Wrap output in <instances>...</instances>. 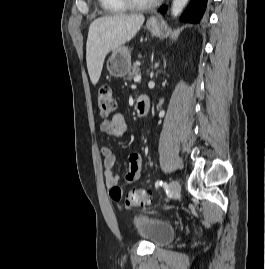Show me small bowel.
<instances>
[{
	"label": "small bowel",
	"instance_id": "c3829d8e",
	"mask_svg": "<svg viewBox=\"0 0 265 269\" xmlns=\"http://www.w3.org/2000/svg\"><path fill=\"white\" fill-rule=\"evenodd\" d=\"M101 132L114 136L121 137L127 131V122L122 114H115L111 119H104L100 123ZM101 155L104 159V177L106 184L110 187L117 186L119 182V176L113 171L117 156L112 152L108 146L101 147ZM142 155L140 153H132L129 156V168L125 176V182L127 184L135 182L141 171Z\"/></svg>",
	"mask_w": 265,
	"mask_h": 269
}]
</instances>
